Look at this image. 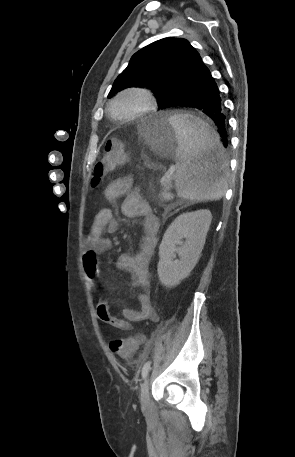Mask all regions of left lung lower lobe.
Masks as SVG:
<instances>
[{
    "label": "left lung lower lobe",
    "mask_w": 295,
    "mask_h": 457,
    "mask_svg": "<svg viewBox=\"0 0 295 457\" xmlns=\"http://www.w3.org/2000/svg\"><path fill=\"white\" fill-rule=\"evenodd\" d=\"M174 106L190 107L206 114L218 127L223 146H228L227 123L219 89L200 56L189 72L187 88L171 97L162 109ZM215 156L216 154L209 155V159L212 160Z\"/></svg>",
    "instance_id": "left-lung-lower-lobe-1"
}]
</instances>
